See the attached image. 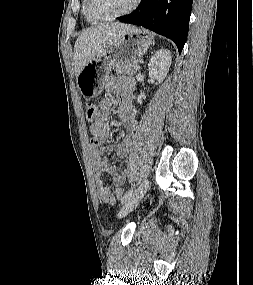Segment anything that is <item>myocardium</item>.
Wrapping results in <instances>:
<instances>
[{"mask_svg": "<svg viewBox=\"0 0 253 285\" xmlns=\"http://www.w3.org/2000/svg\"><path fill=\"white\" fill-rule=\"evenodd\" d=\"M140 2H141V0H134L133 3L131 4V6L129 8H127L126 10H124V11H122L120 13L111 15V16L99 18V17H94L90 13V11H89V0H84L83 11H84L86 17L90 21H93V22H106V21H112V20L118 19L120 17H123L125 15H128V14L132 13L139 6Z\"/></svg>", "mask_w": 253, "mask_h": 285, "instance_id": "myocardium-1", "label": "myocardium"}]
</instances>
